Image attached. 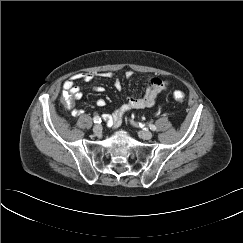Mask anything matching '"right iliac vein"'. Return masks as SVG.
I'll use <instances>...</instances> for the list:
<instances>
[{
    "label": "right iliac vein",
    "instance_id": "obj_1",
    "mask_svg": "<svg viewBox=\"0 0 243 243\" xmlns=\"http://www.w3.org/2000/svg\"><path fill=\"white\" fill-rule=\"evenodd\" d=\"M102 130H103V128H102V126L99 125V124H98V125H95V126L93 127V132H94L95 135H97V136L101 135Z\"/></svg>",
    "mask_w": 243,
    "mask_h": 243
}]
</instances>
